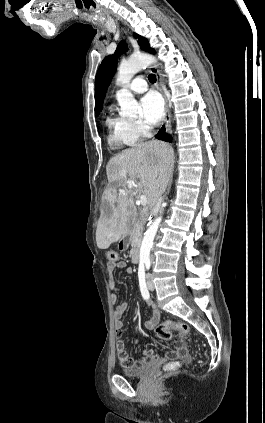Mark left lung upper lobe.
Segmentation results:
<instances>
[{"label": "left lung upper lobe", "instance_id": "obj_1", "mask_svg": "<svg viewBox=\"0 0 265 423\" xmlns=\"http://www.w3.org/2000/svg\"><path fill=\"white\" fill-rule=\"evenodd\" d=\"M133 35L139 39L138 42L143 50L149 53H155L154 49L150 47L147 39L143 38L142 36L136 33H134ZM127 50H128V47L126 42L121 41L115 51V54L105 57L98 69V72L95 78V95H96L95 99H96V107H98L99 111H101L102 109L107 88L115 73L117 58L122 53L126 52Z\"/></svg>", "mask_w": 265, "mask_h": 423}]
</instances>
